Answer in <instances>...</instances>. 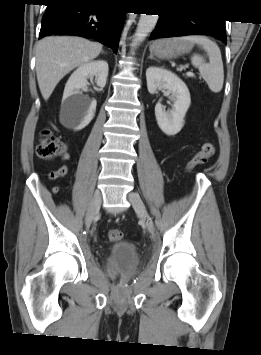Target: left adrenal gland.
Returning <instances> with one entry per match:
<instances>
[{
	"label": "left adrenal gland",
	"instance_id": "left-adrenal-gland-1",
	"mask_svg": "<svg viewBox=\"0 0 261 355\" xmlns=\"http://www.w3.org/2000/svg\"><path fill=\"white\" fill-rule=\"evenodd\" d=\"M149 59H155L152 54H150Z\"/></svg>",
	"mask_w": 261,
	"mask_h": 355
}]
</instances>
